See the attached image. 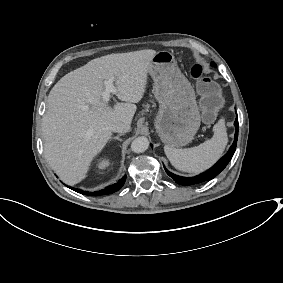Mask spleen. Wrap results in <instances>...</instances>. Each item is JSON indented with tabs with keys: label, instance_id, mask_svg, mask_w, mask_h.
Segmentation results:
<instances>
[{
	"label": "spleen",
	"instance_id": "spleen-1",
	"mask_svg": "<svg viewBox=\"0 0 283 283\" xmlns=\"http://www.w3.org/2000/svg\"><path fill=\"white\" fill-rule=\"evenodd\" d=\"M213 131L210 139L192 148L178 149L164 145L167 158L173 166L183 171L196 173L208 168L222 155L227 144L223 120L214 125Z\"/></svg>",
	"mask_w": 283,
	"mask_h": 283
}]
</instances>
